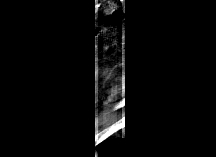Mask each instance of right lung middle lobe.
<instances>
[{"instance_id":"right-lung-middle-lobe-1","label":"right lung middle lobe","mask_w":216,"mask_h":157,"mask_svg":"<svg viewBox=\"0 0 216 157\" xmlns=\"http://www.w3.org/2000/svg\"><path fill=\"white\" fill-rule=\"evenodd\" d=\"M130 105L126 106L125 115H127V112L129 111Z\"/></svg>"}]
</instances>
